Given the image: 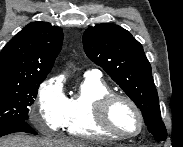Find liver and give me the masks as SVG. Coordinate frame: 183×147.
I'll use <instances>...</instances> for the list:
<instances>
[{
    "instance_id": "obj_1",
    "label": "liver",
    "mask_w": 183,
    "mask_h": 147,
    "mask_svg": "<svg viewBox=\"0 0 183 147\" xmlns=\"http://www.w3.org/2000/svg\"><path fill=\"white\" fill-rule=\"evenodd\" d=\"M97 143H87L71 139L35 138L16 134L0 139V147H93Z\"/></svg>"
}]
</instances>
